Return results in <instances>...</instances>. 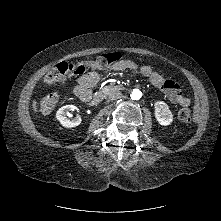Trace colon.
Returning a JSON list of instances; mask_svg holds the SVG:
<instances>
[{"instance_id": "5ec220e1", "label": "colon", "mask_w": 221, "mask_h": 221, "mask_svg": "<svg viewBox=\"0 0 221 221\" xmlns=\"http://www.w3.org/2000/svg\"><path fill=\"white\" fill-rule=\"evenodd\" d=\"M120 62L127 61H121V55L119 53H104L95 60L78 62L76 64L60 62L46 73L44 82L48 85L56 86L71 75H80L87 70L104 69ZM57 100L58 95L56 93H50L45 96L40 105L41 113L49 114L53 110ZM177 117L183 122L190 121V109L188 107L181 108L177 113Z\"/></svg>"}]
</instances>
